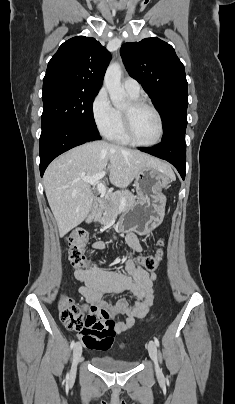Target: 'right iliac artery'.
Segmentation results:
<instances>
[{
	"instance_id": "right-iliac-artery-1",
	"label": "right iliac artery",
	"mask_w": 235,
	"mask_h": 404,
	"mask_svg": "<svg viewBox=\"0 0 235 404\" xmlns=\"http://www.w3.org/2000/svg\"><path fill=\"white\" fill-rule=\"evenodd\" d=\"M75 344H76V343H75V340H73V341L71 342V345H70L71 349L75 346ZM66 379L69 380V374H67Z\"/></svg>"
}]
</instances>
